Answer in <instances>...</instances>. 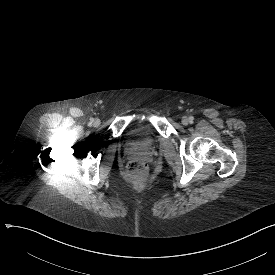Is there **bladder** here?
<instances>
[{
  "label": "bladder",
  "instance_id": "obj_1",
  "mask_svg": "<svg viewBox=\"0 0 275 275\" xmlns=\"http://www.w3.org/2000/svg\"><path fill=\"white\" fill-rule=\"evenodd\" d=\"M142 130L136 129V126H130L126 130V141H132V144L138 145V148L144 151H151L155 146L156 133L150 130L148 124L140 125Z\"/></svg>",
  "mask_w": 275,
  "mask_h": 275
}]
</instances>
